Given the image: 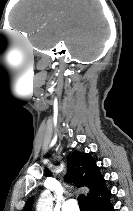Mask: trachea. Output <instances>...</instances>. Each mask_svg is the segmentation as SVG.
<instances>
[{
    "label": "trachea",
    "instance_id": "trachea-1",
    "mask_svg": "<svg viewBox=\"0 0 133 211\" xmlns=\"http://www.w3.org/2000/svg\"><path fill=\"white\" fill-rule=\"evenodd\" d=\"M78 204L81 209H88L87 201L85 195H79L78 197Z\"/></svg>",
    "mask_w": 133,
    "mask_h": 211
}]
</instances>
